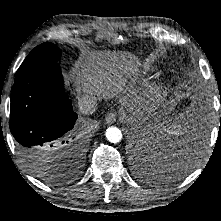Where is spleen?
<instances>
[{
  "mask_svg": "<svg viewBox=\"0 0 221 221\" xmlns=\"http://www.w3.org/2000/svg\"><path fill=\"white\" fill-rule=\"evenodd\" d=\"M165 132H167L169 135H173V134H180L183 132V130H181L180 128H176V129H173L171 127H164L163 128ZM185 130V129H184Z\"/></svg>",
  "mask_w": 221,
  "mask_h": 221,
  "instance_id": "1",
  "label": "spleen"
}]
</instances>
